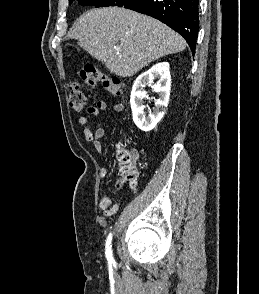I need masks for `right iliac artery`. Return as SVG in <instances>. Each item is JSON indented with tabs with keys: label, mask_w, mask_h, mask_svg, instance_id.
Here are the masks:
<instances>
[{
	"label": "right iliac artery",
	"mask_w": 259,
	"mask_h": 294,
	"mask_svg": "<svg viewBox=\"0 0 259 294\" xmlns=\"http://www.w3.org/2000/svg\"><path fill=\"white\" fill-rule=\"evenodd\" d=\"M111 241H112V233H110L108 235L107 240H106V247H105L106 258H107V261L109 263H113L114 262V258H113V254H112Z\"/></svg>",
	"instance_id": "1"
}]
</instances>
